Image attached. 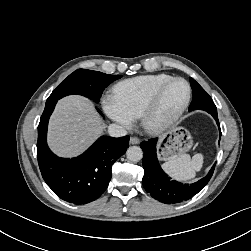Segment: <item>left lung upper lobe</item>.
Here are the masks:
<instances>
[{
    "mask_svg": "<svg viewBox=\"0 0 251 251\" xmlns=\"http://www.w3.org/2000/svg\"><path fill=\"white\" fill-rule=\"evenodd\" d=\"M190 84L193 90V99L189 111L199 109V107L203 106L205 111L217 112L216 106L211 97L193 78H190Z\"/></svg>",
    "mask_w": 251,
    "mask_h": 251,
    "instance_id": "5c2ea615",
    "label": "left lung upper lobe"
}]
</instances>
